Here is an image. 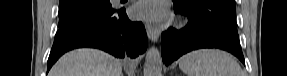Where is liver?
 <instances>
[{
    "instance_id": "1",
    "label": "liver",
    "mask_w": 287,
    "mask_h": 76,
    "mask_svg": "<svg viewBox=\"0 0 287 76\" xmlns=\"http://www.w3.org/2000/svg\"><path fill=\"white\" fill-rule=\"evenodd\" d=\"M49 76H122V63L99 49L82 48L63 55Z\"/></svg>"
}]
</instances>
